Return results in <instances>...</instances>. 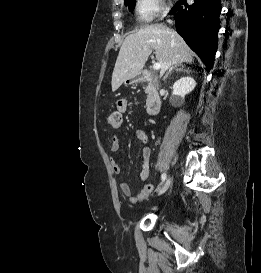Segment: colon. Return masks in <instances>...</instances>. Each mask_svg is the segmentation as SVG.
Instances as JSON below:
<instances>
[{"label": "colon", "instance_id": "1", "mask_svg": "<svg viewBox=\"0 0 261 273\" xmlns=\"http://www.w3.org/2000/svg\"><path fill=\"white\" fill-rule=\"evenodd\" d=\"M108 124L112 128H119L122 124V115L120 112H112L108 118Z\"/></svg>", "mask_w": 261, "mask_h": 273}]
</instances>
